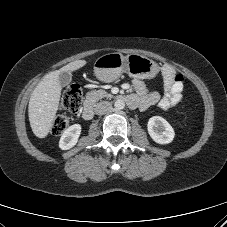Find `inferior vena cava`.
I'll list each match as a JSON object with an SVG mask.
<instances>
[{
    "instance_id": "1",
    "label": "inferior vena cava",
    "mask_w": 227,
    "mask_h": 227,
    "mask_svg": "<svg viewBox=\"0 0 227 227\" xmlns=\"http://www.w3.org/2000/svg\"><path fill=\"white\" fill-rule=\"evenodd\" d=\"M94 109H95V113L97 115H103V114H106L107 112L111 111L112 104L108 101H101L95 105Z\"/></svg>"
}]
</instances>
